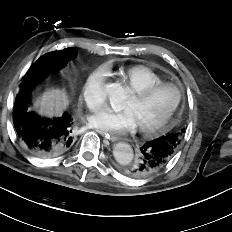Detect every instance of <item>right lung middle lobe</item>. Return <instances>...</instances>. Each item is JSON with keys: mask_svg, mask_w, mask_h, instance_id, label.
Listing matches in <instances>:
<instances>
[{"mask_svg": "<svg viewBox=\"0 0 232 232\" xmlns=\"http://www.w3.org/2000/svg\"><path fill=\"white\" fill-rule=\"evenodd\" d=\"M75 57V48H66L61 51H55L43 55L24 75L20 88L24 86H36L50 72L60 70L66 66L70 59H74Z\"/></svg>", "mask_w": 232, "mask_h": 232, "instance_id": "right-lung-middle-lobe-1", "label": "right lung middle lobe"}]
</instances>
